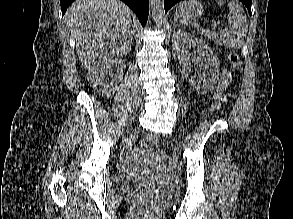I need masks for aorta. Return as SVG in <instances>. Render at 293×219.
I'll return each mask as SVG.
<instances>
[{
    "label": "aorta",
    "instance_id": "obj_1",
    "mask_svg": "<svg viewBox=\"0 0 293 219\" xmlns=\"http://www.w3.org/2000/svg\"><path fill=\"white\" fill-rule=\"evenodd\" d=\"M151 12L153 20L161 24L165 18L164 1L163 0H151Z\"/></svg>",
    "mask_w": 293,
    "mask_h": 219
}]
</instances>
